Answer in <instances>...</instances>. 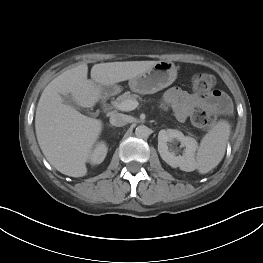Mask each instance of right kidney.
<instances>
[{"mask_svg":"<svg viewBox=\"0 0 263 263\" xmlns=\"http://www.w3.org/2000/svg\"><path fill=\"white\" fill-rule=\"evenodd\" d=\"M107 154V146L104 142H100L96 145L95 149L91 153L89 160L92 165L100 164L105 159Z\"/></svg>","mask_w":263,"mask_h":263,"instance_id":"ca27d5eb","label":"right kidney"}]
</instances>
